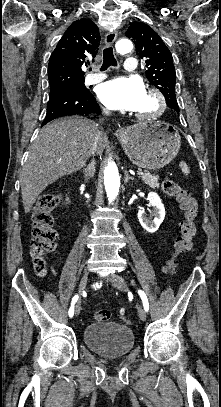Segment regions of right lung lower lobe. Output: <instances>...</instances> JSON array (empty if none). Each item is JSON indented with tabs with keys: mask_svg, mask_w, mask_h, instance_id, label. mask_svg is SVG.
Returning a JSON list of instances; mask_svg holds the SVG:
<instances>
[{
	"mask_svg": "<svg viewBox=\"0 0 221 407\" xmlns=\"http://www.w3.org/2000/svg\"><path fill=\"white\" fill-rule=\"evenodd\" d=\"M99 106L90 91L66 90L49 96L46 117L42 126L53 119L68 115L99 113Z\"/></svg>",
	"mask_w": 221,
	"mask_h": 407,
	"instance_id": "98d812e1",
	"label": "right lung lower lobe"
}]
</instances>
